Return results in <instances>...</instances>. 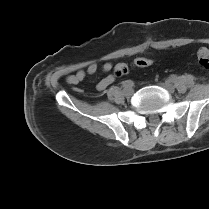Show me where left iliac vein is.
<instances>
[{
  "label": "left iliac vein",
  "mask_w": 209,
  "mask_h": 209,
  "mask_svg": "<svg viewBox=\"0 0 209 209\" xmlns=\"http://www.w3.org/2000/svg\"><path fill=\"white\" fill-rule=\"evenodd\" d=\"M163 87L166 88L170 92L174 91V86L170 82L164 83Z\"/></svg>",
  "instance_id": "obj_1"
}]
</instances>
